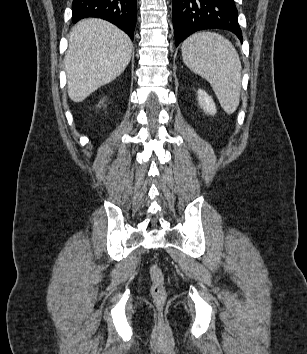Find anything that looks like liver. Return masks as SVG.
Listing matches in <instances>:
<instances>
[{
    "instance_id": "obj_1",
    "label": "liver",
    "mask_w": 307,
    "mask_h": 354,
    "mask_svg": "<svg viewBox=\"0 0 307 354\" xmlns=\"http://www.w3.org/2000/svg\"><path fill=\"white\" fill-rule=\"evenodd\" d=\"M133 44L113 24L97 18L79 21L70 31L64 65L68 95L82 102L116 79L127 67Z\"/></svg>"
}]
</instances>
